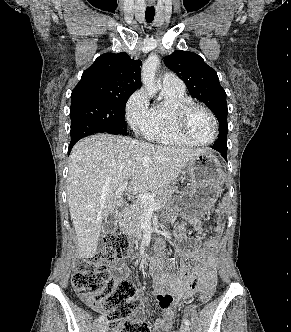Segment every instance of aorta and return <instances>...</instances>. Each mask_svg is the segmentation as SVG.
Returning a JSON list of instances; mask_svg holds the SVG:
<instances>
[{
    "mask_svg": "<svg viewBox=\"0 0 291 332\" xmlns=\"http://www.w3.org/2000/svg\"><path fill=\"white\" fill-rule=\"evenodd\" d=\"M159 62V58L151 54L141 69V80L149 95H154L159 89V84L156 81V70Z\"/></svg>",
    "mask_w": 291,
    "mask_h": 332,
    "instance_id": "aorta-1",
    "label": "aorta"
}]
</instances>
